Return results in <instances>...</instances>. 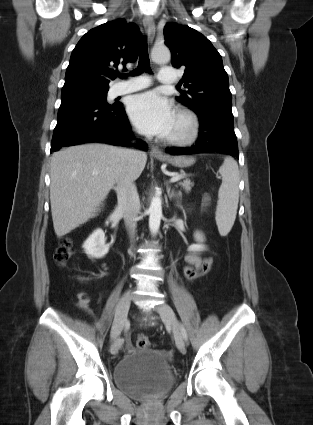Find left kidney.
<instances>
[{"mask_svg":"<svg viewBox=\"0 0 313 425\" xmlns=\"http://www.w3.org/2000/svg\"><path fill=\"white\" fill-rule=\"evenodd\" d=\"M196 241L198 242H202L203 241V235L199 232H196L194 235ZM205 249V246L203 244H193L191 246H189L188 250L192 251V252H197V251H202Z\"/></svg>","mask_w":313,"mask_h":425,"instance_id":"1","label":"left kidney"}]
</instances>
